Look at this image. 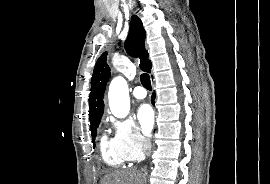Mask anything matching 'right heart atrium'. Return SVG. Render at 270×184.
<instances>
[{"label":"right heart atrium","instance_id":"obj_1","mask_svg":"<svg viewBox=\"0 0 270 184\" xmlns=\"http://www.w3.org/2000/svg\"><path fill=\"white\" fill-rule=\"evenodd\" d=\"M114 129V141L127 158L134 162L140 160L150 146V141L145 137L131 119H111Z\"/></svg>","mask_w":270,"mask_h":184}]
</instances>
